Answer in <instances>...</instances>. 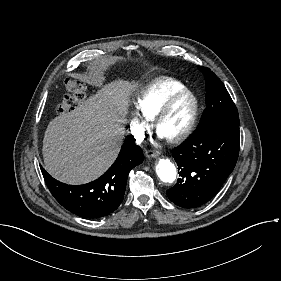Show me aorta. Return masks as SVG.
<instances>
[{
  "label": "aorta",
  "instance_id": "1",
  "mask_svg": "<svg viewBox=\"0 0 281 281\" xmlns=\"http://www.w3.org/2000/svg\"><path fill=\"white\" fill-rule=\"evenodd\" d=\"M157 175L164 183H173L176 179V167L168 159H161L157 164Z\"/></svg>",
  "mask_w": 281,
  "mask_h": 281
}]
</instances>
